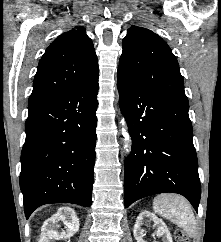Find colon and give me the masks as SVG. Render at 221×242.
<instances>
[{
    "instance_id": "obj_1",
    "label": "colon",
    "mask_w": 221,
    "mask_h": 242,
    "mask_svg": "<svg viewBox=\"0 0 221 242\" xmlns=\"http://www.w3.org/2000/svg\"><path fill=\"white\" fill-rule=\"evenodd\" d=\"M175 238L176 242H189L187 236L180 230L176 231Z\"/></svg>"
}]
</instances>
